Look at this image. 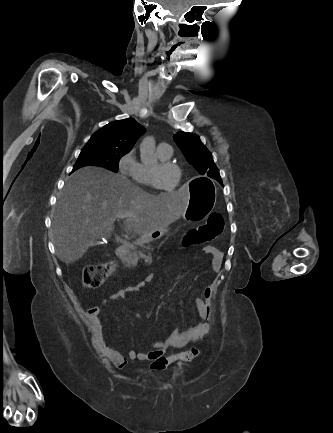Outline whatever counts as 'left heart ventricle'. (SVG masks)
Listing matches in <instances>:
<instances>
[{"mask_svg":"<svg viewBox=\"0 0 333 433\" xmlns=\"http://www.w3.org/2000/svg\"><path fill=\"white\" fill-rule=\"evenodd\" d=\"M156 164L153 166L155 167ZM178 173L174 168H165L159 174V181L161 185L171 191L177 183Z\"/></svg>","mask_w":333,"mask_h":433,"instance_id":"b2bd125f","label":"left heart ventricle"}]
</instances>
